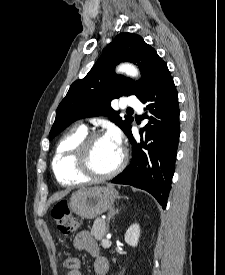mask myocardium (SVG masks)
I'll use <instances>...</instances> for the list:
<instances>
[{
    "label": "myocardium",
    "mask_w": 225,
    "mask_h": 275,
    "mask_svg": "<svg viewBox=\"0 0 225 275\" xmlns=\"http://www.w3.org/2000/svg\"><path fill=\"white\" fill-rule=\"evenodd\" d=\"M103 137L105 136L100 132H90L87 133L76 146L74 153V168L86 179L100 181L113 178L122 172L127 164L128 155L126 150L122 148L120 161L111 172L106 174H98L91 169L89 164L91 147L96 140Z\"/></svg>",
    "instance_id": "obj_1"
}]
</instances>
